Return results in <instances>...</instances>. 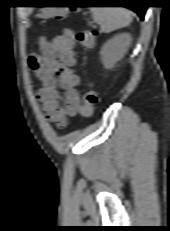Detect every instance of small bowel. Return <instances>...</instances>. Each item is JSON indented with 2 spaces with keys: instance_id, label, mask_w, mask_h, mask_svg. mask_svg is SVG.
Instances as JSON below:
<instances>
[{
  "instance_id": "obj_1",
  "label": "small bowel",
  "mask_w": 170,
  "mask_h": 231,
  "mask_svg": "<svg viewBox=\"0 0 170 231\" xmlns=\"http://www.w3.org/2000/svg\"><path fill=\"white\" fill-rule=\"evenodd\" d=\"M75 35L70 29L51 40L40 39V53L28 58L29 67L42 82L37 98L48 120L59 127L67 125L80 106L77 90L80 76L74 70ZM60 90L64 92L61 93Z\"/></svg>"
}]
</instances>
